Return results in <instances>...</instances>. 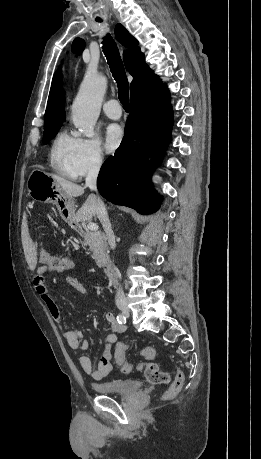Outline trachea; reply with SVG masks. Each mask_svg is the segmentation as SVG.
Segmentation results:
<instances>
[{"mask_svg":"<svg viewBox=\"0 0 261 459\" xmlns=\"http://www.w3.org/2000/svg\"><path fill=\"white\" fill-rule=\"evenodd\" d=\"M103 52L107 58L110 70L118 85V97L123 108L129 110V87L124 65L116 42L108 34L104 37Z\"/></svg>","mask_w":261,"mask_h":459,"instance_id":"trachea-1","label":"trachea"}]
</instances>
